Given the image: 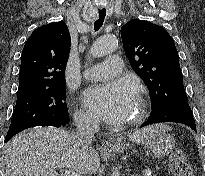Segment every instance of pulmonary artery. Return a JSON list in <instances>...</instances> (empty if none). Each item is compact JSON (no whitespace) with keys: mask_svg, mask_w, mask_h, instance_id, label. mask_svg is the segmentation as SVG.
<instances>
[{"mask_svg":"<svg viewBox=\"0 0 205 176\" xmlns=\"http://www.w3.org/2000/svg\"><path fill=\"white\" fill-rule=\"evenodd\" d=\"M122 72V62L119 56H110L106 62L94 65L83 71L86 80H102Z\"/></svg>","mask_w":205,"mask_h":176,"instance_id":"1","label":"pulmonary artery"}]
</instances>
